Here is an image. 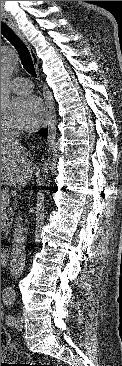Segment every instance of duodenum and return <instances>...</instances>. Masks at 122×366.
Wrapping results in <instances>:
<instances>
[{"instance_id":"410a0bca","label":"duodenum","mask_w":122,"mask_h":366,"mask_svg":"<svg viewBox=\"0 0 122 366\" xmlns=\"http://www.w3.org/2000/svg\"><path fill=\"white\" fill-rule=\"evenodd\" d=\"M8 254H9L8 250H5V249L1 250V257H2V259L3 258H6L8 256Z\"/></svg>"}]
</instances>
